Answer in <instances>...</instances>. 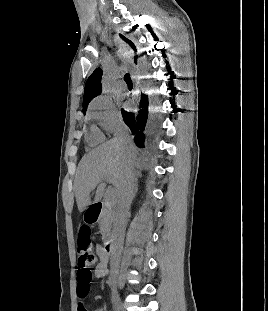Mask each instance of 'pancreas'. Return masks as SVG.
I'll use <instances>...</instances> for the list:
<instances>
[{
    "instance_id": "1",
    "label": "pancreas",
    "mask_w": 268,
    "mask_h": 311,
    "mask_svg": "<svg viewBox=\"0 0 268 311\" xmlns=\"http://www.w3.org/2000/svg\"><path fill=\"white\" fill-rule=\"evenodd\" d=\"M113 218L114 211L110 208H105L99 219V227L103 240H106L110 236Z\"/></svg>"
}]
</instances>
